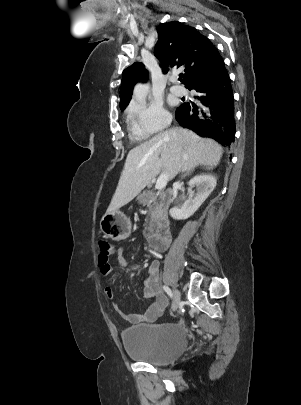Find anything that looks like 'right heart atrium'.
Returning <instances> with one entry per match:
<instances>
[{
  "label": "right heart atrium",
  "instance_id": "obj_1",
  "mask_svg": "<svg viewBox=\"0 0 301 405\" xmlns=\"http://www.w3.org/2000/svg\"><path fill=\"white\" fill-rule=\"evenodd\" d=\"M129 113L136 128L145 136L162 131L171 122L170 113L157 100L134 102Z\"/></svg>",
  "mask_w": 301,
  "mask_h": 405
}]
</instances>
